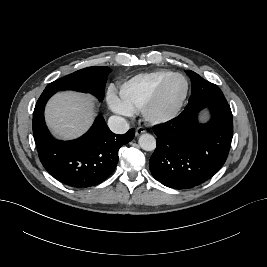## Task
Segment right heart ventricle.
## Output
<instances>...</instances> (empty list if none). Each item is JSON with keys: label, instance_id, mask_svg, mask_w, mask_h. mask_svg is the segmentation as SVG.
<instances>
[{"label": "right heart ventricle", "instance_id": "1", "mask_svg": "<svg viewBox=\"0 0 267 267\" xmlns=\"http://www.w3.org/2000/svg\"><path fill=\"white\" fill-rule=\"evenodd\" d=\"M171 74L168 70L137 74L120 85V99L131 111L142 110L158 85Z\"/></svg>", "mask_w": 267, "mask_h": 267}]
</instances>
